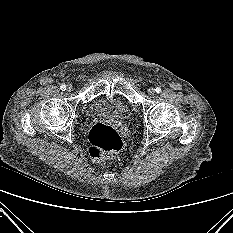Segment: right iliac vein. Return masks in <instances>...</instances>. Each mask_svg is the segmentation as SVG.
<instances>
[{
    "label": "right iliac vein",
    "mask_w": 233,
    "mask_h": 233,
    "mask_svg": "<svg viewBox=\"0 0 233 233\" xmlns=\"http://www.w3.org/2000/svg\"><path fill=\"white\" fill-rule=\"evenodd\" d=\"M72 90H73V86H72L71 84H68V85H67V91L70 92V91H72Z\"/></svg>",
    "instance_id": "1"
}]
</instances>
